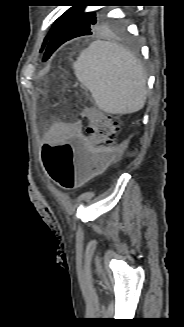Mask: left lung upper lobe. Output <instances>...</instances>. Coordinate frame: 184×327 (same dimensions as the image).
<instances>
[{
  "label": "left lung upper lobe",
  "instance_id": "1",
  "mask_svg": "<svg viewBox=\"0 0 184 327\" xmlns=\"http://www.w3.org/2000/svg\"><path fill=\"white\" fill-rule=\"evenodd\" d=\"M62 16L64 19V24L68 28L79 32L81 36L92 34L105 22L103 18L97 16V11L84 13V6H73L68 9ZM57 21L58 19L56 20L48 35L45 37L41 50L45 48L47 42L49 41Z\"/></svg>",
  "mask_w": 184,
  "mask_h": 327
}]
</instances>
